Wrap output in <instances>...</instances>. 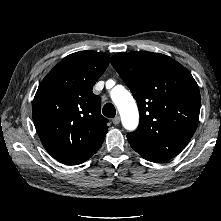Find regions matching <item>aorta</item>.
Segmentation results:
<instances>
[{
	"mask_svg": "<svg viewBox=\"0 0 221 221\" xmlns=\"http://www.w3.org/2000/svg\"><path fill=\"white\" fill-rule=\"evenodd\" d=\"M111 98L118 108L124 128L130 131L136 129L139 112L132 95L123 86H116L111 92Z\"/></svg>",
	"mask_w": 221,
	"mask_h": 221,
	"instance_id": "obj_1",
	"label": "aorta"
}]
</instances>
